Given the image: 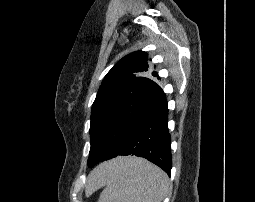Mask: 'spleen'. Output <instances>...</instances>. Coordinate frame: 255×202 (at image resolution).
Instances as JSON below:
<instances>
[{
    "label": "spleen",
    "instance_id": "3e777b00",
    "mask_svg": "<svg viewBox=\"0 0 255 202\" xmlns=\"http://www.w3.org/2000/svg\"><path fill=\"white\" fill-rule=\"evenodd\" d=\"M93 185L105 186L98 202H161L168 193L169 180L149 161L124 157L101 168Z\"/></svg>",
    "mask_w": 255,
    "mask_h": 202
}]
</instances>
